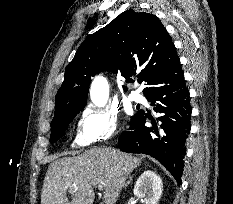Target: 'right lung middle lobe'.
Segmentation results:
<instances>
[{
	"label": "right lung middle lobe",
	"instance_id": "dd1d6c3e",
	"mask_svg": "<svg viewBox=\"0 0 233 204\" xmlns=\"http://www.w3.org/2000/svg\"><path fill=\"white\" fill-rule=\"evenodd\" d=\"M80 110L73 111L63 118L53 120L51 122V136L50 143L56 142L65 132L68 124L74 119Z\"/></svg>",
	"mask_w": 233,
	"mask_h": 204
}]
</instances>
